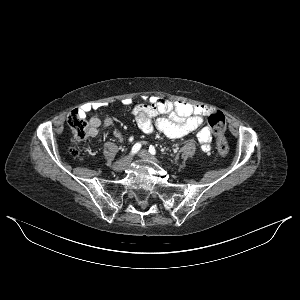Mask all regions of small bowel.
I'll list each match as a JSON object with an SVG mask.
<instances>
[{
  "label": "small bowel",
  "instance_id": "1",
  "mask_svg": "<svg viewBox=\"0 0 300 300\" xmlns=\"http://www.w3.org/2000/svg\"><path fill=\"white\" fill-rule=\"evenodd\" d=\"M122 103L131 106V113L138 128L144 134L155 130L170 138H180L197 131V139L204 152L211 150L212 133L207 126H203L204 116L211 108L204 104H191L183 100H171L166 97L149 96L143 103L134 104L131 99H124ZM104 104L98 102L86 103L81 106L80 113L85 116L93 111L88 120V137L98 136L99 128H108L113 120L106 117L101 120L96 113Z\"/></svg>",
  "mask_w": 300,
  "mask_h": 300
}]
</instances>
